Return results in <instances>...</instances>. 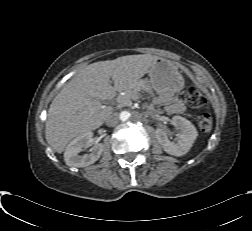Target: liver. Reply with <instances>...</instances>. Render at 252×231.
Returning a JSON list of instances; mask_svg holds the SVG:
<instances>
[{
	"mask_svg": "<svg viewBox=\"0 0 252 231\" xmlns=\"http://www.w3.org/2000/svg\"><path fill=\"white\" fill-rule=\"evenodd\" d=\"M158 59L150 54L127 55L82 69L58 93L48 110L45 138L52 149L62 153L74 137L100 127L113 111L112 107H103L101 101L114 98L116 92L137 91L140 79Z\"/></svg>",
	"mask_w": 252,
	"mask_h": 231,
	"instance_id": "obj_1",
	"label": "liver"
}]
</instances>
